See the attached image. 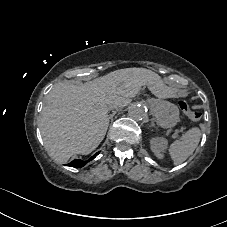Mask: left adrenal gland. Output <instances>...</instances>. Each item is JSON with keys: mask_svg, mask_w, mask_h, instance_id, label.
I'll list each match as a JSON object with an SVG mask.
<instances>
[{"mask_svg": "<svg viewBox=\"0 0 227 227\" xmlns=\"http://www.w3.org/2000/svg\"><path fill=\"white\" fill-rule=\"evenodd\" d=\"M151 121H152L151 127H156L157 128V126L154 123V119H151Z\"/></svg>", "mask_w": 227, "mask_h": 227, "instance_id": "1", "label": "left adrenal gland"}]
</instances>
